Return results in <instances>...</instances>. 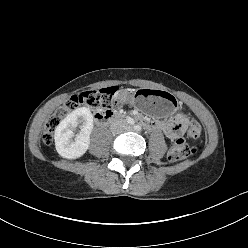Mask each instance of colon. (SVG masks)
Returning <instances> with one entry per match:
<instances>
[{"instance_id": "1", "label": "colon", "mask_w": 248, "mask_h": 248, "mask_svg": "<svg viewBox=\"0 0 248 248\" xmlns=\"http://www.w3.org/2000/svg\"><path fill=\"white\" fill-rule=\"evenodd\" d=\"M117 87H108L99 90H89L71 96L61 107H59L47 120L43 131V142L51 144L53 142L54 131L61 121L80 105H86L100 112H109L113 108H119L114 100ZM146 121V120H145ZM144 121V122H145ZM202 132L200 124L192 120L187 129L190 138L197 139ZM195 153V148L190 146L184 139H177L170 147L168 160L177 162L188 158Z\"/></svg>"}]
</instances>
